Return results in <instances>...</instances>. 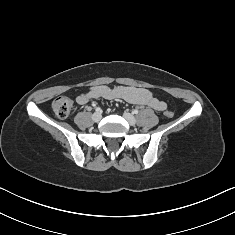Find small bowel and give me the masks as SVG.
I'll return each mask as SVG.
<instances>
[{"label": "small bowel", "mask_w": 235, "mask_h": 235, "mask_svg": "<svg viewBox=\"0 0 235 235\" xmlns=\"http://www.w3.org/2000/svg\"><path fill=\"white\" fill-rule=\"evenodd\" d=\"M94 98L122 99L130 104L147 106L156 111H164L167 108L166 103L154 97L148 89L133 86H93L88 91L79 94L76 101L80 105H85Z\"/></svg>", "instance_id": "1"}]
</instances>
